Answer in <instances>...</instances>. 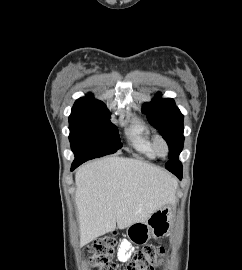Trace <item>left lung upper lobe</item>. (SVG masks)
<instances>
[{
  "label": "left lung upper lobe",
  "instance_id": "1",
  "mask_svg": "<svg viewBox=\"0 0 242 270\" xmlns=\"http://www.w3.org/2000/svg\"><path fill=\"white\" fill-rule=\"evenodd\" d=\"M151 125L157 128L169 146V161L165 168L175 174H182V164L178 156L183 149V118L173 99L155 98L142 107Z\"/></svg>",
  "mask_w": 242,
  "mask_h": 270
}]
</instances>
